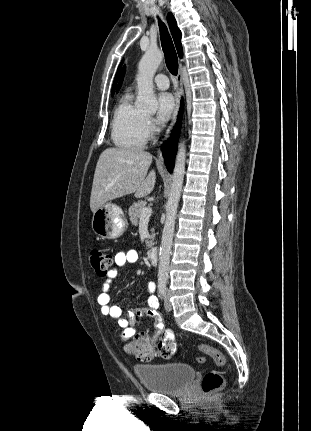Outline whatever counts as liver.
<instances>
[{
  "label": "liver",
  "instance_id": "liver-1",
  "mask_svg": "<svg viewBox=\"0 0 311 431\" xmlns=\"http://www.w3.org/2000/svg\"><path fill=\"white\" fill-rule=\"evenodd\" d=\"M152 164L149 152L141 148H107L102 152L96 166L90 210L96 212L107 202L134 194L146 198L153 192L156 172L148 170Z\"/></svg>",
  "mask_w": 311,
  "mask_h": 431
}]
</instances>
